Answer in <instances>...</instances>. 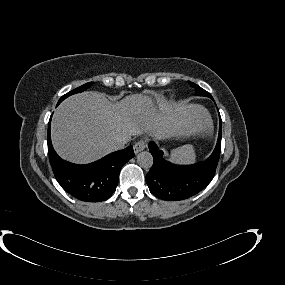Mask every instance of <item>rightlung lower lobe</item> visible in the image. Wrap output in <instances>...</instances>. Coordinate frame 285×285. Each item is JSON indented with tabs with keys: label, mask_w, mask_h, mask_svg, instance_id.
Segmentation results:
<instances>
[{
	"label": "right lung lower lobe",
	"mask_w": 285,
	"mask_h": 285,
	"mask_svg": "<svg viewBox=\"0 0 285 285\" xmlns=\"http://www.w3.org/2000/svg\"><path fill=\"white\" fill-rule=\"evenodd\" d=\"M50 122L51 118L47 138L49 160L62 188L73 197L85 202H100L111 197L116 190L122 166L135 156L133 147L113 152L90 164H73L61 159L53 149Z\"/></svg>",
	"instance_id": "98d812e1"
}]
</instances>
